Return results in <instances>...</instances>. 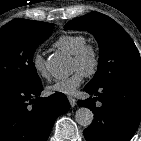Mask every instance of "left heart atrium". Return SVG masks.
Returning <instances> with one entry per match:
<instances>
[{"instance_id":"left-heart-atrium-1","label":"left heart atrium","mask_w":141,"mask_h":141,"mask_svg":"<svg viewBox=\"0 0 141 141\" xmlns=\"http://www.w3.org/2000/svg\"><path fill=\"white\" fill-rule=\"evenodd\" d=\"M83 73L76 70L72 75L67 78L56 81L49 87L50 93H60L64 95H72L76 92L77 88L83 81Z\"/></svg>"}]
</instances>
